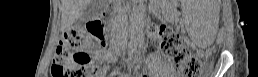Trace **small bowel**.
I'll list each match as a JSON object with an SVG mask.
<instances>
[{"label":"small bowel","mask_w":258,"mask_h":77,"mask_svg":"<svg viewBox=\"0 0 258 77\" xmlns=\"http://www.w3.org/2000/svg\"><path fill=\"white\" fill-rule=\"evenodd\" d=\"M94 60L99 64L95 70L94 74L95 76H104L106 74V70L109 64L113 63L116 59L115 54L105 51V50H96L93 53ZM153 67L157 70H161L162 66L161 64H158L157 60H152ZM161 73H164V75H172L175 72L172 71L169 67L165 69V71H160Z\"/></svg>","instance_id":"obj_1"}]
</instances>
